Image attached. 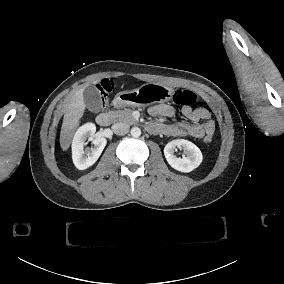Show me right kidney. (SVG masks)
<instances>
[{
	"label": "right kidney",
	"instance_id": "1",
	"mask_svg": "<svg viewBox=\"0 0 284 284\" xmlns=\"http://www.w3.org/2000/svg\"><path fill=\"white\" fill-rule=\"evenodd\" d=\"M96 128L93 124H86L80 128L74 138L72 146L73 161L79 170L91 167L100 157L107 140L105 137H97L92 141V149L85 148V143L94 136Z\"/></svg>",
	"mask_w": 284,
	"mask_h": 284
}]
</instances>
